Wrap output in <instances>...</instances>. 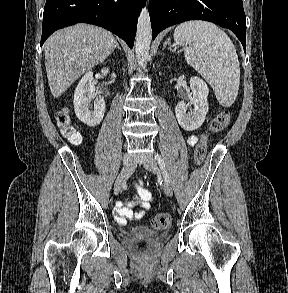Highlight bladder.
I'll return each mask as SVG.
<instances>
[{"instance_id":"obj_1","label":"bladder","mask_w":288,"mask_h":293,"mask_svg":"<svg viewBox=\"0 0 288 293\" xmlns=\"http://www.w3.org/2000/svg\"><path fill=\"white\" fill-rule=\"evenodd\" d=\"M131 233L133 234H144V235H148V236H155V235H159L158 233L149 230V229H145V228H135L131 231Z\"/></svg>"}]
</instances>
